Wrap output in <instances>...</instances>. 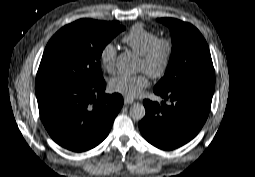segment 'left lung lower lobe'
<instances>
[{"mask_svg":"<svg viewBox=\"0 0 255 177\" xmlns=\"http://www.w3.org/2000/svg\"><path fill=\"white\" fill-rule=\"evenodd\" d=\"M215 80H196L154 93L170 104L144 100L145 117L139 123L143 137L163 149L178 148L194 138L204 125L211 106Z\"/></svg>","mask_w":255,"mask_h":177,"instance_id":"0a47b994","label":"left lung lower lobe"}]
</instances>
